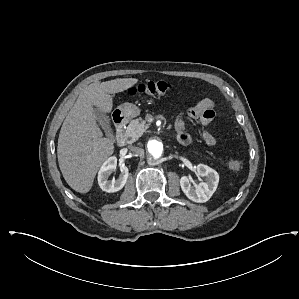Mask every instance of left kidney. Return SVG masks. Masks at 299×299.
I'll list each match as a JSON object with an SVG mask.
<instances>
[{"label":"left kidney","instance_id":"left-kidney-1","mask_svg":"<svg viewBox=\"0 0 299 299\" xmlns=\"http://www.w3.org/2000/svg\"><path fill=\"white\" fill-rule=\"evenodd\" d=\"M196 173L201 177H206V182H201L193 188L187 176H182L180 186L188 199L197 203L208 201L216 191L219 183L218 173L207 165L199 164L196 167Z\"/></svg>","mask_w":299,"mask_h":299}]
</instances>
